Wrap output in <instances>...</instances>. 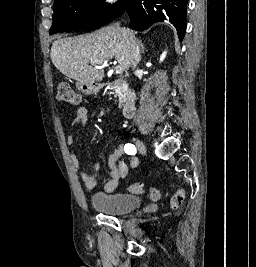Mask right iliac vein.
Here are the masks:
<instances>
[{
  "instance_id": "63e3f726",
  "label": "right iliac vein",
  "mask_w": 256,
  "mask_h": 267,
  "mask_svg": "<svg viewBox=\"0 0 256 267\" xmlns=\"http://www.w3.org/2000/svg\"><path fill=\"white\" fill-rule=\"evenodd\" d=\"M135 145L137 147V149L141 152V153H147V147L146 145L143 143V141H141L140 139H137L135 141Z\"/></svg>"
}]
</instances>
